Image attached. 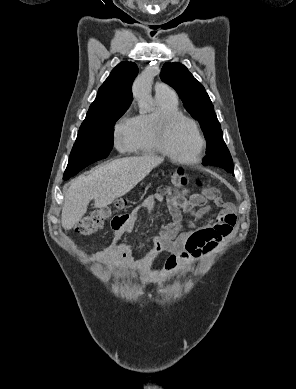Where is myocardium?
<instances>
[{"label":"myocardium","mask_w":296,"mask_h":389,"mask_svg":"<svg viewBox=\"0 0 296 389\" xmlns=\"http://www.w3.org/2000/svg\"><path fill=\"white\" fill-rule=\"evenodd\" d=\"M180 120H184L189 122L195 129L198 139H199V148L197 151V154L192 159H182L177 157L169 146V135L172 127L174 124ZM155 136L156 141L159 147V150L161 153L169 157L171 160L180 163V164H196L198 163L204 154L205 148H206V139L205 136L201 130L200 125L198 122L193 119L192 117L185 115L181 112H172V113H166L159 117V119L156 122L155 127Z\"/></svg>","instance_id":"myocardium-1"}]
</instances>
